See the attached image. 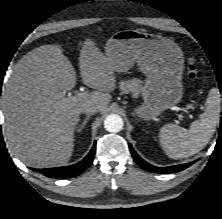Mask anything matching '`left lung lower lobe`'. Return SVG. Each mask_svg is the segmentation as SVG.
Listing matches in <instances>:
<instances>
[{
	"label": "left lung lower lobe",
	"mask_w": 222,
	"mask_h": 219,
	"mask_svg": "<svg viewBox=\"0 0 222 219\" xmlns=\"http://www.w3.org/2000/svg\"><path fill=\"white\" fill-rule=\"evenodd\" d=\"M129 148L131 151V154L135 160V162L141 166L142 168L151 171V172H155V173H176L179 172L181 170H184L186 168H188L190 165L193 164V162L190 163H186V164H181V165H175V166H169V167H156L153 166L149 163H147L146 161H144L137 153L136 151L133 149L132 145L129 144Z\"/></svg>",
	"instance_id": "0a47b994"
}]
</instances>
